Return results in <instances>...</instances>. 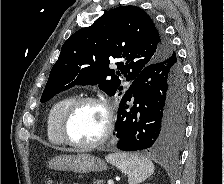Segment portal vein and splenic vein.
<instances>
[{
  "label": "portal vein and splenic vein",
  "mask_w": 224,
  "mask_h": 184,
  "mask_svg": "<svg viewBox=\"0 0 224 184\" xmlns=\"http://www.w3.org/2000/svg\"><path fill=\"white\" fill-rule=\"evenodd\" d=\"M107 184H114L113 180H108Z\"/></svg>",
  "instance_id": "18ae733b"
}]
</instances>
